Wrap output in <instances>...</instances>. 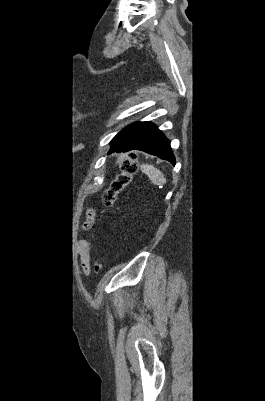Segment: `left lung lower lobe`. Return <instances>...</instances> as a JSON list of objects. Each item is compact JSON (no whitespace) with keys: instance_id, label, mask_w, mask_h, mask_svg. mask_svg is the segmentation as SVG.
<instances>
[{"instance_id":"0a47b994","label":"left lung lower lobe","mask_w":265,"mask_h":401,"mask_svg":"<svg viewBox=\"0 0 265 401\" xmlns=\"http://www.w3.org/2000/svg\"><path fill=\"white\" fill-rule=\"evenodd\" d=\"M110 144L111 148L108 154L137 149L168 160L175 165L170 141L151 122H137L128 125L112 139Z\"/></svg>"}]
</instances>
